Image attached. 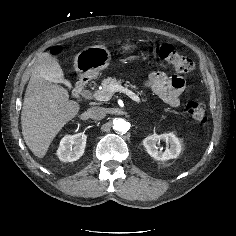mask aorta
<instances>
[{
  "label": "aorta",
  "mask_w": 236,
  "mask_h": 236,
  "mask_svg": "<svg viewBox=\"0 0 236 236\" xmlns=\"http://www.w3.org/2000/svg\"><path fill=\"white\" fill-rule=\"evenodd\" d=\"M129 123L122 118H118L113 122V129L125 133L129 130Z\"/></svg>",
  "instance_id": "aorta-1"
}]
</instances>
